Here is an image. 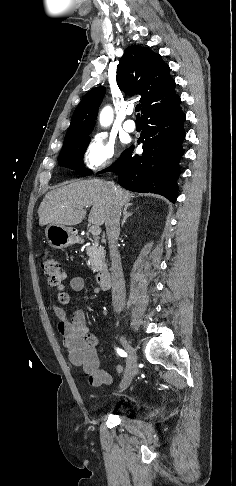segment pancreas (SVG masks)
Instances as JSON below:
<instances>
[{
    "mask_svg": "<svg viewBox=\"0 0 236 486\" xmlns=\"http://www.w3.org/2000/svg\"><path fill=\"white\" fill-rule=\"evenodd\" d=\"M86 251L91 271L98 272L106 269L105 250L103 246L99 245L98 239H94L92 244L86 248Z\"/></svg>",
    "mask_w": 236,
    "mask_h": 486,
    "instance_id": "cf45deb5",
    "label": "pancreas"
}]
</instances>
